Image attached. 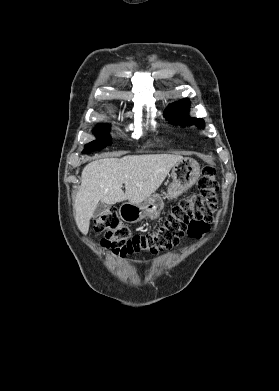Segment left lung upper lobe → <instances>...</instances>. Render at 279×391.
<instances>
[{"label": "left lung upper lobe", "instance_id": "obj_1", "mask_svg": "<svg viewBox=\"0 0 279 391\" xmlns=\"http://www.w3.org/2000/svg\"><path fill=\"white\" fill-rule=\"evenodd\" d=\"M190 103L187 99L171 104L165 111V117L171 122L188 125L196 123L198 127H204L203 119L190 118L187 116Z\"/></svg>", "mask_w": 279, "mask_h": 391}]
</instances>
